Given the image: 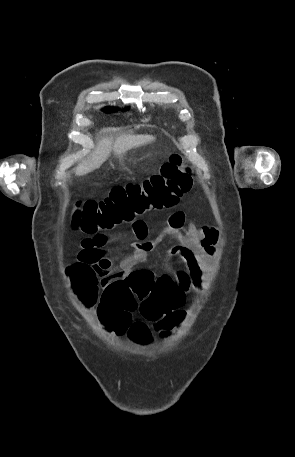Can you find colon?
Segmentation results:
<instances>
[{"label": "colon", "mask_w": 295, "mask_h": 457, "mask_svg": "<svg viewBox=\"0 0 295 457\" xmlns=\"http://www.w3.org/2000/svg\"><path fill=\"white\" fill-rule=\"evenodd\" d=\"M191 186V169L184 165L179 154H173L161 166L159 173L142 183L116 186L101 200L79 203L71 223L74 228L87 234L132 224L147 212L172 208ZM67 273L87 305L96 302L98 277L106 276L98 307L99 318L117 335L127 333L138 342L140 350L145 349L152 335L146 323L132 321V313L137 310L138 302L142 316L155 322L162 333L173 329L184 317L177 298V287L170 277H156L149 270H136L123 279L120 271L110 274L105 265L82 261L69 266Z\"/></svg>", "instance_id": "colon-1"}]
</instances>
